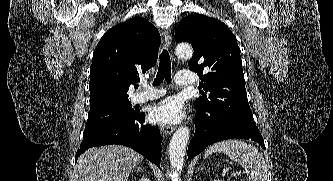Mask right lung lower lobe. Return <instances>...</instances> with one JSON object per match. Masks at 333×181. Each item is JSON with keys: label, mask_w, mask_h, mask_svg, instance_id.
Listing matches in <instances>:
<instances>
[{"label": "right lung lower lobe", "mask_w": 333, "mask_h": 181, "mask_svg": "<svg viewBox=\"0 0 333 181\" xmlns=\"http://www.w3.org/2000/svg\"><path fill=\"white\" fill-rule=\"evenodd\" d=\"M144 115L134 112L129 116L84 130L83 141L76 157L91 147L119 144L131 147L159 167L162 137L158 126L145 123Z\"/></svg>", "instance_id": "98d812e1"}]
</instances>
